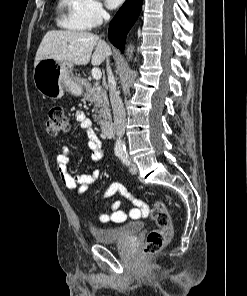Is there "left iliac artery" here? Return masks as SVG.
I'll list each match as a JSON object with an SVG mask.
<instances>
[{
    "instance_id": "44dca946",
    "label": "left iliac artery",
    "mask_w": 247,
    "mask_h": 296,
    "mask_svg": "<svg viewBox=\"0 0 247 296\" xmlns=\"http://www.w3.org/2000/svg\"><path fill=\"white\" fill-rule=\"evenodd\" d=\"M119 158L121 159V161L125 164V165H129L130 164V161L128 159V155L126 152H121L119 154Z\"/></svg>"
}]
</instances>
